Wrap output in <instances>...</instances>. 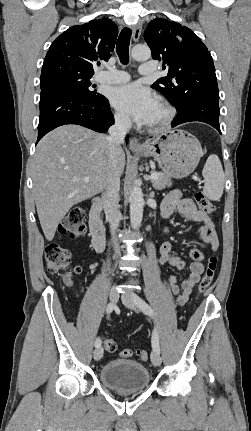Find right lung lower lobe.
Returning a JSON list of instances; mask_svg holds the SVG:
<instances>
[{"mask_svg":"<svg viewBox=\"0 0 251 431\" xmlns=\"http://www.w3.org/2000/svg\"><path fill=\"white\" fill-rule=\"evenodd\" d=\"M37 142L49 131L65 124H77L106 132L114 124L104 96H84L64 87L43 89L40 97Z\"/></svg>","mask_w":251,"mask_h":431,"instance_id":"obj_1","label":"right lung lower lobe"}]
</instances>
